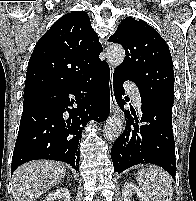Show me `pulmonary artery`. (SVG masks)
Here are the masks:
<instances>
[{"label":"pulmonary artery","mask_w":196,"mask_h":201,"mask_svg":"<svg viewBox=\"0 0 196 201\" xmlns=\"http://www.w3.org/2000/svg\"><path fill=\"white\" fill-rule=\"evenodd\" d=\"M125 87H126V89L129 90V93L134 101V104L137 107H140L141 99H140V94H139L137 87L133 83H130V82H126Z\"/></svg>","instance_id":"1"}]
</instances>
